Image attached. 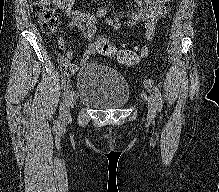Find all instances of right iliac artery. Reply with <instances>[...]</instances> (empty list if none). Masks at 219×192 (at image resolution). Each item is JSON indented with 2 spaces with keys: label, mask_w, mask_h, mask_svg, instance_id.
Returning a JSON list of instances; mask_svg holds the SVG:
<instances>
[{
  "label": "right iliac artery",
  "mask_w": 219,
  "mask_h": 192,
  "mask_svg": "<svg viewBox=\"0 0 219 192\" xmlns=\"http://www.w3.org/2000/svg\"><path fill=\"white\" fill-rule=\"evenodd\" d=\"M69 81H70L69 78H64L63 81H62V85L64 87H66L69 84Z\"/></svg>",
  "instance_id": "82829eb1"
}]
</instances>
